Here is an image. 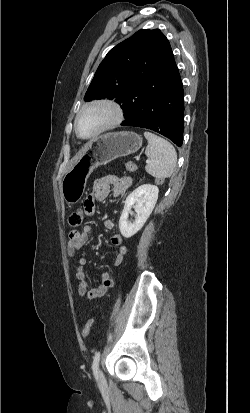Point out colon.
<instances>
[{"mask_svg":"<svg viewBox=\"0 0 250 413\" xmlns=\"http://www.w3.org/2000/svg\"><path fill=\"white\" fill-rule=\"evenodd\" d=\"M126 168L130 172H134L137 170V165L133 161L126 162ZM154 185L156 187H164L166 185V180L164 175H159L158 178L154 180ZM84 209H76L74 210L68 219V223L71 227L77 228L83 223L84 219ZM94 323V319H90L86 322L82 330V336L87 338L92 330V326Z\"/></svg>","mask_w":250,"mask_h":413,"instance_id":"obj_1","label":"colon"}]
</instances>
